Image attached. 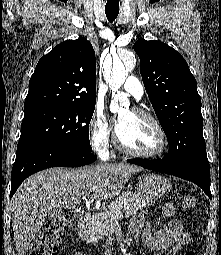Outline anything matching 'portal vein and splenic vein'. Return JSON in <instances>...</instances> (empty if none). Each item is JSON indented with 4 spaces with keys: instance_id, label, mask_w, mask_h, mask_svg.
I'll return each instance as SVG.
<instances>
[{
    "instance_id": "1",
    "label": "portal vein and splenic vein",
    "mask_w": 221,
    "mask_h": 255,
    "mask_svg": "<svg viewBox=\"0 0 221 255\" xmlns=\"http://www.w3.org/2000/svg\"><path fill=\"white\" fill-rule=\"evenodd\" d=\"M86 196H87V195H85L84 198H85ZM121 214H122V213L119 211L118 214H117V216H121Z\"/></svg>"
}]
</instances>
